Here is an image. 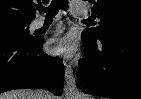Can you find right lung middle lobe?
I'll return each instance as SVG.
<instances>
[{
  "label": "right lung middle lobe",
  "instance_id": "obj_1",
  "mask_svg": "<svg viewBox=\"0 0 141 99\" xmlns=\"http://www.w3.org/2000/svg\"><path fill=\"white\" fill-rule=\"evenodd\" d=\"M31 21H2L0 22V38L18 41H31L36 37L29 34Z\"/></svg>",
  "mask_w": 141,
  "mask_h": 99
}]
</instances>
